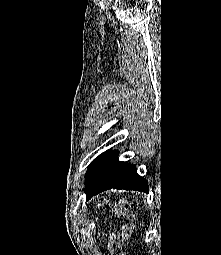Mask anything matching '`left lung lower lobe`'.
I'll use <instances>...</instances> for the list:
<instances>
[{
  "instance_id": "left-lung-lower-lobe-1",
  "label": "left lung lower lobe",
  "mask_w": 221,
  "mask_h": 255,
  "mask_svg": "<svg viewBox=\"0 0 221 255\" xmlns=\"http://www.w3.org/2000/svg\"><path fill=\"white\" fill-rule=\"evenodd\" d=\"M85 179L87 199L111 188L149 192L147 181L137 174L135 165L118 161L116 150L106 151L95 158Z\"/></svg>"
}]
</instances>
